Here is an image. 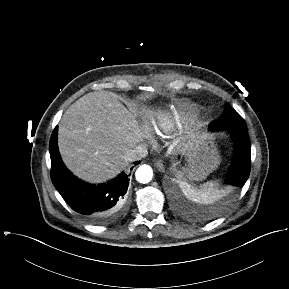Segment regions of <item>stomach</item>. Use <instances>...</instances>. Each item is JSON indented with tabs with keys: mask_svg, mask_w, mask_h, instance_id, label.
Returning a JSON list of instances; mask_svg holds the SVG:
<instances>
[{
	"mask_svg": "<svg viewBox=\"0 0 289 289\" xmlns=\"http://www.w3.org/2000/svg\"><path fill=\"white\" fill-rule=\"evenodd\" d=\"M186 160L193 174L204 176L220 163L216 145L212 137L206 134L196 135L184 149Z\"/></svg>",
	"mask_w": 289,
	"mask_h": 289,
	"instance_id": "0dacf381",
	"label": "stomach"
}]
</instances>
